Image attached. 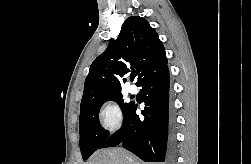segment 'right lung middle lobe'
I'll return each mask as SVG.
<instances>
[{"instance_id": "obj_1", "label": "right lung middle lobe", "mask_w": 251, "mask_h": 164, "mask_svg": "<svg viewBox=\"0 0 251 164\" xmlns=\"http://www.w3.org/2000/svg\"><path fill=\"white\" fill-rule=\"evenodd\" d=\"M109 100L117 102L125 113L132 104L124 103L120 92L102 96L80 109V149L87 160L108 138V132L99 123L98 113L101 105Z\"/></svg>"}]
</instances>
